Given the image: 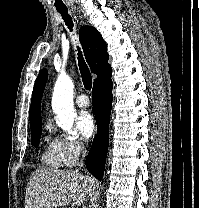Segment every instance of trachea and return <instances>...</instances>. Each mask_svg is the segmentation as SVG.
<instances>
[{
  "instance_id": "trachea-1",
  "label": "trachea",
  "mask_w": 199,
  "mask_h": 208,
  "mask_svg": "<svg viewBox=\"0 0 199 208\" xmlns=\"http://www.w3.org/2000/svg\"><path fill=\"white\" fill-rule=\"evenodd\" d=\"M58 12L62 15L66 25L72 31L73 22H72V18L68 14V9H59ZM78 66H79V70L81 73V77H82V81H83L85 89L91 90L92 76H91L90 71L84 61V58L82 56V52L78 53Z\"/></svg>"
}]
</instances>
